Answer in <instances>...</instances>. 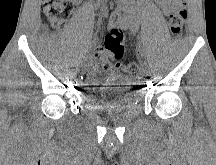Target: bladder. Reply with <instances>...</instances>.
I'll use <instances>...</instances> for the list:
<instances>
[{
    "mask_svg": "<svg viewBox=\"0 0 216 165\" xmlns=\"http://www.w3.org/2000/svg\"><path fill=\"white\" fill-rule=\"evenodd\" d=\"M132 76L118 71H109L108 76H88L87 86L91 89H82V94L91 98V106L95 111H121L131 107L137 97L133 87L135 81Z\"/></svg>",
    "mask_w": 216,
    "mask_h": 165,
    "instance_id": "1",
    "label": "bladder"
}]
</instances>
